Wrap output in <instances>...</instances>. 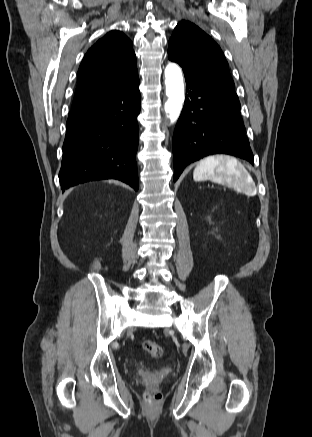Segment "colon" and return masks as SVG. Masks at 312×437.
Instances as JSON below:
<instances>
[{"mask_svg": "<svg viewBox=\"0 0 312 437\" xmlns=\"http://www.w3.org/2000/svg\"><path fill=\"white\" fill-rule=\"evenodd\" d=\"M143 349L153 359H160L163 355L162 346L153 340H145L143 342ZM160 398H161V394L155 388H152V387L148 388L145 392V399L148 402H156V401L160 400Z\"/></svg>", "mask_w": 312, "mask_h": 437, "instance_id": "5ec220e1", "label": "colon"}]
</instances>
